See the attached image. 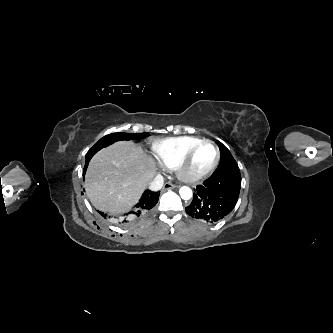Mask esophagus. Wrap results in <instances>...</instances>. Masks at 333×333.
<instances>
[{
  "label": "esophagus",
  "mask_w": 333,
  "mask_h": 333,
  "mask_svg": "<svg viewBox=\"0 0 333 333\" xmlns=\"http://www.w3.org/2000/svg\"><path fill=\"white\" fill-rule=\"evenodd\" d=\"M177 187H178L177 185H174L170 182H167V183L164 184L163 189L164 190H169V189H174V188H177Z\"/></svg>",
  "instance_id": "34e87169"
}]
</instances>
